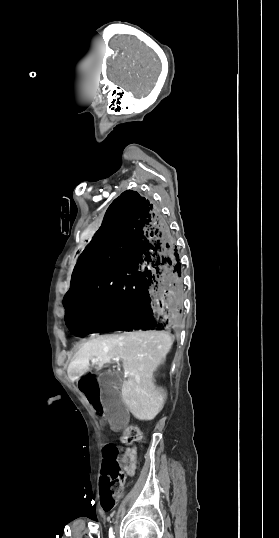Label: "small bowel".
Returning <instances> with one entry per match:
<instances>
[{
	"label": "small bowel",
	"mask_w": 279,
	"mask_h": 538,
	"mask_svg": "<svg viewBox=\"0 0 279 538\" xmlns=\"http://www.w3.org/2000/svg\"><path fill=\"white\" fill-rule=\"evenodd\" d=\"M118 462L124 466L128 474L132 475L137 464V452L133 448L121 449Z\"/></svg>",
	"instance_id": "c3829d8e"
}]
</instances>
